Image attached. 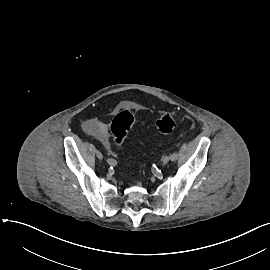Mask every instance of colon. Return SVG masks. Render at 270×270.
<instances>
[{
  "label": "colon",
  "instance_id": "obj_1",
  "mask_svg": "<svg viewBox=\"0 0 270 270\" xmlns=\"http://www.w3.org/2000/svg\"><path fill=\"white\" fill-rule=\"evenodd\" d=\"M134 123V117L129 111L119 112L111 123L112 140L116 147H122L128 132ZM157 129L164 134L175 131L177 120L173 113L167 111L162 113L156 120Z\"/></svg>",
  "mask_w": 270,
  "mask_h": 270
}]
</instances>
